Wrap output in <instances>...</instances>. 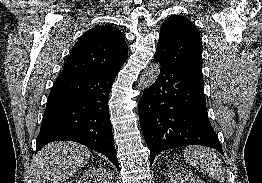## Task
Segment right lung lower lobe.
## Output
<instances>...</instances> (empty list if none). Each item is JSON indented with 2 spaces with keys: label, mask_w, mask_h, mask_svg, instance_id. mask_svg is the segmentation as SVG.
I'll list each match as a JSON object with an SVG mask.
<instances>
[{
  "label": "right lung lower lobe",
  "mask_w": 262,
  "mask_h": 183,
  "mask_svg": "<svg viewBox=\"0 0 262 183\" xmlns=\"http://www.w3.org/2000/svg\"><path fill=\"white\" fill-rule=\"evenodd\" d=\"M119 70L61 74L49 93L36 152L53 141H74L104 154L119 169L108 107Z\"/></svg>",
  "instance_id": "98d812e1"
}]
</instances>
